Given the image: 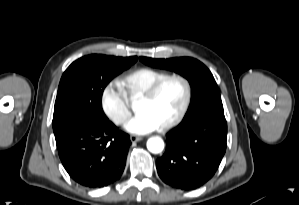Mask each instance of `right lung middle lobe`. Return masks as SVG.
Segmentation results:
<instances>
[{"mask_svg": "<svg viewBox=\"0 0 299 205\" xmlns=\"http://www.w3.org/2000/svg\"><path fill=\"white\" fill-rule=\"evenodd\" d=\"M133 63L105 55H89L73 62L58 88L53 115L55 138L79 122L108 120L101 106L103 90Z\"/></svg>", "mask_w": 299, "mask_h": 205, "instance_id": "dd1d6c3e", "label": "right lung middle lobe"}]
</instances>
